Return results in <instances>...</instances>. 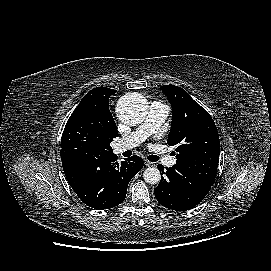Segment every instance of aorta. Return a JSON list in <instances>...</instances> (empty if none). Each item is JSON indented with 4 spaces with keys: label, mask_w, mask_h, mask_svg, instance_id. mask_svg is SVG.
<instances>
[{
    "label": "aorta",
    "mask_w": 271,
    "mask_h": 271,
    "mask_svg": "<svg viewBox=\"0 0 271 271\" xmlns=\"http://www.w3.org/2000/svg\"><path fill=\"white\" fill-rule=\"evenodd\" d=\"M118 117L126 124L134 125L141 122L147 115V105L142 96L126 95L121 98L117 108ZM143 178L148 184H157L160 171L156 167H149L143 173Z\"/></svg>",
    "instance_id": "obj_1"
}]
</instances>
